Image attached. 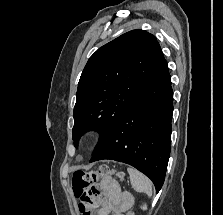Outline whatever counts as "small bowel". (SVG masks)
I'll return each mask as SVG.
<instances>
[{
	"mask_svg": "<svg viewBox=\"0 0 223 215\" xmlns=\"http://www.w3.org/2000/svg\"><path fill=\"white\" fill-rule=\"evenodd\" d=\"M133 202L130 193L122 192L118 184L106 176L87 189L79 208L83 215H125Z\"/></svg>",
	"mask_w": 223,
	"mask_h": 215,
	"instance_id": "small-bowel-1",
	"label": "small bowel"
}]
</instances>
